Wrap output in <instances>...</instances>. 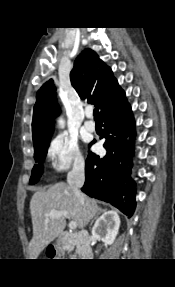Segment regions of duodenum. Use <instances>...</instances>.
<instances>
[{
    "mask_svg": "<svg viewBox=\"0 0 175 287\" xmlns=\"http://www.w3.org/2000/svg\"><path fill=\"white\" fill-rule=\"evenodd\" d=\"M62 246L70 250L72 246L77 247L78 254L83 259L92 257L90 235L87 231L63 232L60 236Z\"/></svg>",
    "mask_w": 175,
    "mask_h": 287,
    "instance_id": "obj_1",
    "label": "duodenum"
}]
</instances>
